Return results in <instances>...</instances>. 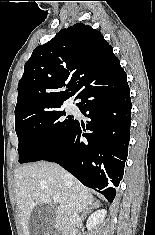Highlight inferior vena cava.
Instances as JSON below:
<instances>
[{
	"label": "inferior vena cava",
	"mask_w": 155,
	"mask_h": 235,
	"mask_svg": "<svg viewBox=\"0 0 155 235\" xmlns=\"http://www.w3.org/2000/svg\"><path fill=\"white\" fill-rule=\"evenodd\" d=\"M71 226L75 227L80 222V217L77 212H73L69 218Z\"/></svg>",
	"instance_id": "602c4592"
}]
</instances>
